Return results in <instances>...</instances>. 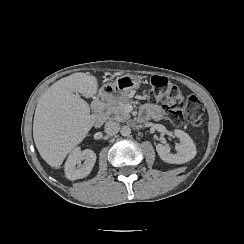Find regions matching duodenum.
I'll list each match as a JSON object with an SVG mask.
<instances>
[{
	"label": "duodenum",
	"instance_id": "obj_1",
	"mask_svg": "<svg viewBox=\"0 0 244 244\" xmlns=\"http://www.w3.org/2000/svg\"><path fill=\"white\" fill-rule=\"evenodd\" d=\"M113 94H99L94 102H93V109L94 112L96 114V119H95V123L96 124H100L101 121L103 120V116H102V109L103 106L111 99Z\"/></svg>",
	"mask_w": 244,
	"mask_h": 244
}]
</instances>
